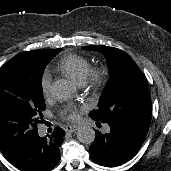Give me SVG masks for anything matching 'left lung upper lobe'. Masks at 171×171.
Instances as JSON below:
<instances>
[{
  "label": "left lung upper lobe",
  "instance_id": "left-lung-upper-lobe-1",
  "mask_svg": "<svg viewBox=\"0 0 171 171\" xmlns=\"http://www.w3.org/2000/svg\"><path fill=\"white\" fill-rule=\"evenodd\" d=\"M99 51L108 62L110 78L90 117L101 122L126 121L149 128L151 96L147 79L134 60L124 51L103 45L82 47Z\"/></svg>",
  "mask_w": 171,
  "mask_h": 171
}]
</instances>
